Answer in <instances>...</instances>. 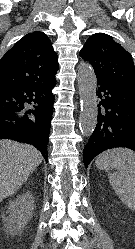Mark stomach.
Here are the masks:
<instances>
[{"label":"stomach","instance_id":"1","mask_svg":"<svg viewBox=\"0 0 135 249\" xmlns=\"http://www.w3.org/2000/svg\"><path fill=\"white\" fill-rule=\"evenodd\" d=\"M100 169H104V170H109V169H112L111 165L110 164H104V165H101V166H98Z\"/></svg>","mask_w":135,"mask_h":249}]
</instances>
